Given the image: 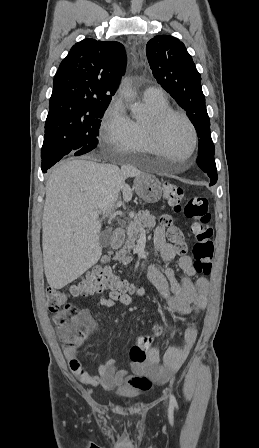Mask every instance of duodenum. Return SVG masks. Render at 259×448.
<instances>
[{
	"label": "duodenum",
	"mask_w": 259,
	"mask_h": 448,
	"mask_svg": "<svg viewBox=\"0 0 259 448\" xmlns=\"http://www.w3.org/2000/svg\"><path fill=\"white\" fill-rule=\"evenodd\" d=\"M123 238H124V229L120 228V227L116 228L112 234L111 248L118 249L123 242ZM102 260H103V262H108L109 255H105Z\"/></svg>",
	"instance_id": "410a0bca"
}]
</instances>
